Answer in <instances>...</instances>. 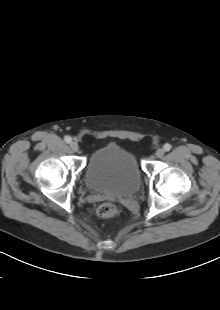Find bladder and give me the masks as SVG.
<instances>
[{
	"instance_id": "31cf9c89",
	"label": "bladder",
	"mask_w": 220,
	"mask_h": 310,
	"mask_svg": "<svg viewBox=\"0 0 220 310\" xmlns=\"http://www.w3.org/2000/svg\"><path fill=\"white\" fill-rule=\"evenodd\" d=\"M87 188L111 197L136 193L141 174L134 155L118 145H105L92 152L84 171Z\"/></svg>"
}]
</instances>
